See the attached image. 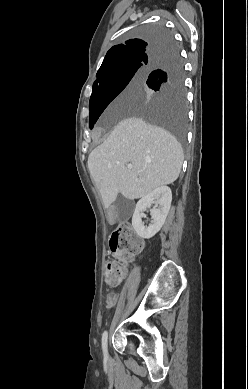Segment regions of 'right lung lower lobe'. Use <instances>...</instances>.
Segmentation results:
<instances>
[{"mask_svg":"<svg viewBox=\"0 0 248 389\" xmlns=\"http://www.w3.org/2000/svg\"><path fill=\"white\" fill-rule=\"evenodd\" d=\"M154 43H161V44H163L164 43V47H166L167 49H166V51L164 52V53H166L167 51H169L170 49H172V48H174L175 47V44L174 43H168L166 40H156ZM163 53V54H164ZM164 71H162V70H155V71H153L150 75H149V77H155V76H157V77H160V76H163L164 75Z\"/></svg>","mask_w":248,"mask_h":389,"instance_id":"1","label":"right lung lower lobe"}]
</instances>
